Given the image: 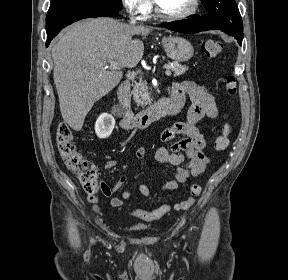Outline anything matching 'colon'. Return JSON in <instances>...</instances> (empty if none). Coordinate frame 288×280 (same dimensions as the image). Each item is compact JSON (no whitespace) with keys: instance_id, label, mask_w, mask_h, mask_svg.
<instances>
[{"instance_id":"colon-1","label":"colon","mask_w":288,"mask_h":280,"mask_svg":"<svg viewBox=\"0 0 288 280\" xmlns=\"http://www.w3.org/2000/svg\"><path fill=\"white\" fill-rule=\"evenodd\" d=\"M203 53L209 58H217L223 52V44L218 40L207 39L201 43ZM225 91L229 96L236 94V79L231 76L225 81ZM231 132L229 125H225L223 133L215 141V149L223 151L228 146V135ZM56 142L59 155L68 169L74 172L84 190L88 195H98L101 184L98 181V173L96 166L85 159L81 152L74 144V137L71 128L66 123H60L56 132ZM190 197L176 205L174 209L177 211L187 210L190 208L200 196L202 187L199 184L190 185ZM171 210V206L162 205L157 209L147 211L143 209H134L131 215L145 221L157 220L166 215Z\"/></svg>"}]
</instances>
